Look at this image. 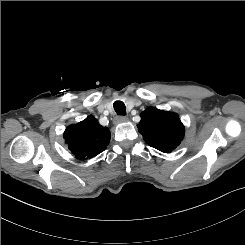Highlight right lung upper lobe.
<instances>
[{"instance_id": "right-lung-upper-lobe-1", "label": "right lung upper lobe", "mask_w": 245, "mask_h": 245, "mask_svg": "<svg viewBox=\"0 0 245 245\" xmlns=\"http://www.w3.org/2000/svg\"><path fill=\"white\" fill-rule=\"evenodd\" d=\"M64 138L75 157L84 160L93 158L106 149L110 142V131L90 115L85 120L68 126Z\"/></svg>"}]
</instances>
